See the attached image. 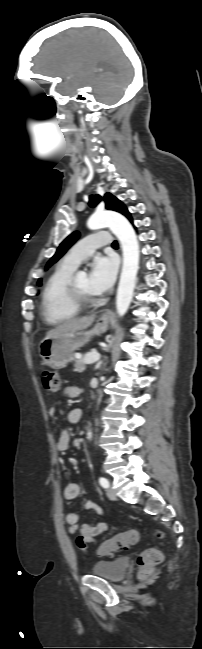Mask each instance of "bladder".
I'll list each match as a JSON object with an SVG mask.
<instances>
[{
    "label": "bladder",
    "mask_w": 202,
    "mask_h": 649,
    "mask_svg": "<svg viewBox=\"0 0 202 649\" xmlns=\"http://www.w3.org/2000/svg\"><path fill=\"white\" fill-rule=\"evenodd\" d=\"M129 568V561L126 558H116L110 561H99L91 569L94 576L112 582H118L124 578Z\"/></svg>",
    "instance_id": "1"
}]
</instances>
